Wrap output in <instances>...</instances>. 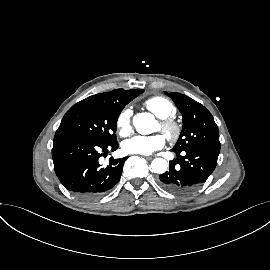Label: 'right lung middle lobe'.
I'll list each match as a JSON object with an SVG mask.
<instances>
[{
    "instance_id": "right-lung-middle-lobe-1",
    "label": "right lung middle lobe",
    "mask_w": 270,
    "mask_h": 270,
    "mask_svg": "<svg viewBox=\"0 0 270 270\" xmlns=\"http://www.w3.org/2000/svg\"><path fill=\"white\" fill-rule=\"evenodd\" d=\"M123 108L113 102L90 96L73 105L64 115L55 136L78 135L100 144H112Z\"/></svg>"
}]
</instances>
